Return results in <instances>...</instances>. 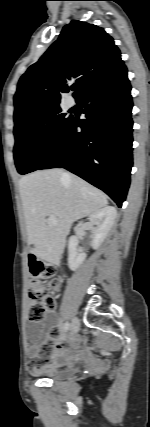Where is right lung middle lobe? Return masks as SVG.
<instances>
[{"mask_svg": "<svg viewBox=\"0 0 150 427\" xmlns=\"http://www.w3.org/2000/svg\"><path fill=\"white\" fill-rule=\"evenodd\" d=\"M65 115L60 106H55L15 122L14 159L20 174L37 170L49 156L72 120Z\"/></svg>", "mask_w": 150, "mask_h": 427, "instance_id": "dd1d6c3e", "label": "right lung middle lobe"}]
</instances>
